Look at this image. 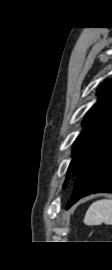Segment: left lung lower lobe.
Returning a JSON list of instances; mask_svg holds the SVG:
<instances>
[{"mask_svg":"<svg viewBox=\"0 0 112 270\" xmlns=\"http://www.w3.org/2000/svg\"><path fill=\"white\" fill-rule=\"evenodd\" d=\"M99 192L112 193V149L76 178L66 209L82 197Z\"/></svg>","mask_w":112,"mask_h":270,"instance_id":"1","label":"left lung lower lobe"}]
</instances>
